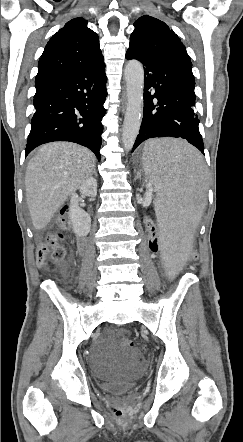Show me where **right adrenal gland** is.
I'll return each instance as SVG.
<instances>
[{"label":"right adrenal gland","instance_id":"obj_1","mask_svg":"<svg viewBox=\"0 0 243 442\" xmlns=\"http://www.w3.org/2000/svg\"><path fill=\"white\" fill-rule=\"evenodd\" d=\"M93 174L95 175V176H97V174H96V170L94 169V171H93Z\"/></svg>","mask_w":243,"mask_h":442}]
</instances>
